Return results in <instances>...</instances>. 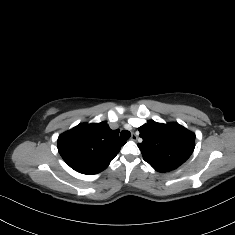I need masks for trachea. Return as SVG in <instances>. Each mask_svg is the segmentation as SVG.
Returning <instances> with one entry per match:
<instances>
[{
    "mask_svg": "<svg viewBox=\"0 0 235 235\" xmlns=\"http://www.w3.org/2000/svg\"><path fill=\"white\" fill-rule=\"evenodd\" d=\"M131 136V133L127 130H122L120 133V137L122 140H128Z\"/></svg>",
    "mask_w": 235,
    "mask_h": 235,
    "instance_id": "obj_1",
    "label": "trachea"
}]
</instances>
